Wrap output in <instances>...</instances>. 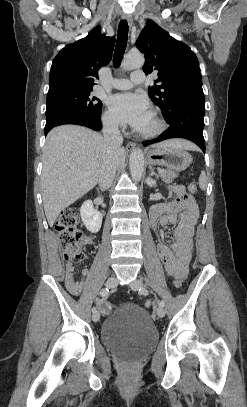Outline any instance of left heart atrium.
Masks as SVG:
<instances>
[{"label": "left heart atrium", "instance_id": "39dd6f15", "mask_svg": "<svg viewBox=\"0 0 247 407\" xmlns=\"http://www.w3.org/2000/svg\"><path fill=\"white\" fill-rule=\"evenodd\" d=\"M115 117L124 124L139 130L150 115L148 101L145 97L125 92L111 96L108 100Z\"/></svg>", "mask_w": 247, "mask_h": 407}]
</instances>
